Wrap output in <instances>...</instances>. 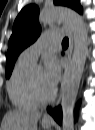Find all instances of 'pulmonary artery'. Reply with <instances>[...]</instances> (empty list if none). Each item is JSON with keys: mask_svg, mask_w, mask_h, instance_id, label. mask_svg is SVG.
<instances>
[{"mask_svg": "<svg viewBox=\"0 0 95 130\" xmlns=\"http://www.w3.org/2000/svg\"><path fill=\"white\" fill-rule=\"evenodd\" d=\"M61 39L62 32L59 30L43 32L34 43L21 53L19 59L33 64L44 48L49 44L60 42Z\"/></svg>", "mask_w": 95, "mask_h": 130, "instance_id": "obj_1", "label": "pulmonary artery"}]
</instances>
